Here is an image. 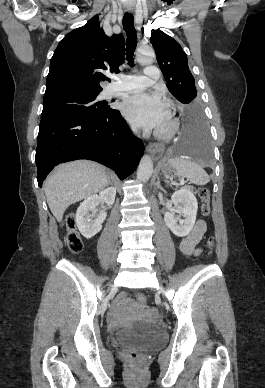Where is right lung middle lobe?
<instances>
[{
    "mask_svg": "<svg viewBox=\"0 0 265 388\" xmlns=\"http://www.w3.org/2000/svg\"><path fill=\"white\" fill-rule=\"evenodd\" d=\"M99 93H68L44 97L41 120L61 114H105L111 108L94 103Z\"/></svg>",
    "mask_w": 265,
    "mask_h": 388,
    "instance_id": "obj_1",
    "label": "right lung middle lobe"
}]
</instances>
